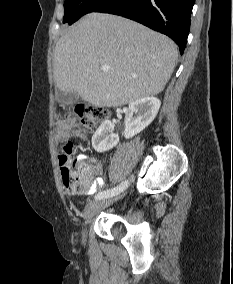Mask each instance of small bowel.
<instances>
[{"label": "small bowel", "instance_id": "obj_1", "mask_svg": "<svg viewBox=\"0 0 233 284\" xmlns=\"http://www.w3.org/2000/svg\"><path fill=\"white\" fill-rule=\"evenodd\" d=\"M69 131L67 125L61 124L59 127V135H63ZM74 135L79 138H85V134L81 130H76ZM77 164L80 166L82 171L88 174L91 178V185L85 192L86 194H92L102 188L104 181L102 178L103 166L95 158H88L84 155H79L76 159Z\"/></svg>", "mask_w": 233, "mask_h": 284}]
</instances>
